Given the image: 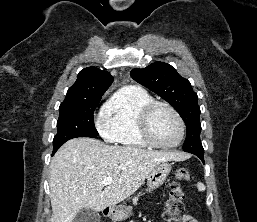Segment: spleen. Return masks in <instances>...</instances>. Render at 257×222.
Listing matches in <instances>:
<instances>
[{"label": "spleen", "instance_id": "1", "mask_svg": "<svg viewBox=\"0 0 257 222\" xmlns=\"http://www.w3.org/2000/svg\"><path fill=\"white\" fill-rule=\"evenodd\" d=\"M197 189H198L199 191H204V190H205V185H204L203 183L199 182V183L197 184Z\"/></svg>", "mask_w": 257, "mask_h": 222}]
</instances>
